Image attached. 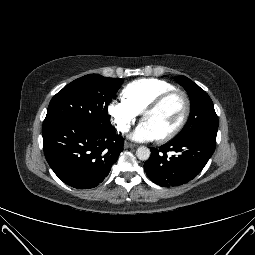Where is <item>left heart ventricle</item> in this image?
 Returning <instances> with one entry per match:
<instances>
[{
    "instance_id": "obj_1",
    "label": "left heart ventricle",
    "mask_w": 255,
    "mask_h": 255,
    "mask_svg": "<svg viewBox=\"0 0 255 255\" xmlns=\"http://www.w3.org/2000/svg\"><path fill=\"white\" fill-rule=\"evenodd\" d=\"M183 112V98L180 95H174L158 109L147 114L142 121L147 123L159 138L170 132L179 123Z\"/></svg>"
}]
</instances>
